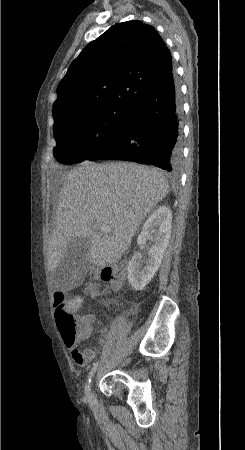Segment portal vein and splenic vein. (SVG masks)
Here are the masks:
<instances>
[{"instance_id":"1","label":"portal vein and splenic vein","mask_w":245,"mask_h":450,"mask_svg":"<svg viewBox=\"0 0 245 450\" xmlns=\"http://www.w3.org/2000/svg\"><path fill=\"white\" fill-rule=\"evenodd\" d=\"M98 230H99L100 232L105 233V234H109V233L112 232V228H111L110 226L106 225V224H100V225L98 226Z\"/></svg>"}]
</instances>
